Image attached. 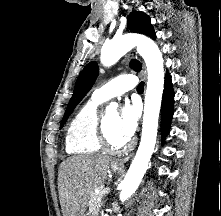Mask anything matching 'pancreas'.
I'll list each match as a JSON object with an SVG mask.
<instances>
[{"label":"pancreas","instance_id":"obj_1","mask_svg":"<svg viewBox=\"0 0 221 216\" xmlns=\"http://www.w3.org/2000/svg\"><path fill=\"white\" fill-rule=\"evenodd\" d=\"M101 192L99 194L92 193L89 201V212L91 216L98 215L99 209L102 205L103 198V190L100 189Z\"/></svg>","mask_w":221,"mask_h":216}]
</instances>
